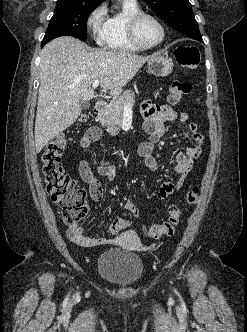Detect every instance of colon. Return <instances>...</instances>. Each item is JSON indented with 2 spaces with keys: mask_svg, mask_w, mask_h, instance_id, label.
I'll return each mask as SVG.
<instances>
[{
  "mask_svg": "<svg viewBox=\"0 0 247 332\" xmlns=\"http://www.w3.org/2000/svg\"><path fill=\"white\" fill-rule=\"evenodd\" d=\"M176 61L182 67L195 69L200 62V53L193 46H179L175 51ZM192 91V85L188 82L174 81L169 87L168 100L170 103L179 102ZM86 115L81 117L85 121ZM67 139L60 134L50 140L41 156V169L44 176L46 190L51 200L61 208V216L65 223L72 225L82 220L88 214L86 191L77 181L67 174L61 165V157L66 148ZM199 198V188L192 186L186 193V201L195 204ZM181 209L172 204L168 208V218L160 223L149 226L146 235L152 239H160L174 235L180 222ZM129 226V222L123 218H115L109 231L117 234Z\"/></svg>",
  "mask_w": 247,
  "mask_h": 332,
  "instance_id": "colon-1",
  "label": "colon"
}]
</instances>
